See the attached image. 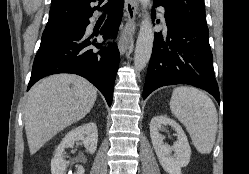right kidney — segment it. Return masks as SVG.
Here are the masks:
<instances>
[{
  "label": "right kidney",
  "mask_w": 249,
  "mask_h": 174,
  "mask_svg": "<svg viewBox=\"0 0 249 174\" xmlns=\"http://www.w3.org/2000/svg\"><path fill=\"white\" fill-rule=\"evenodd\" d=\"M82 141L86 150L93 154L97 148L98 132L95 123H88L79 126L65 135L61 143L55 150V155L51 160L52 174H65L67 162L63 158V153L67 148H73L76 141ZM83 166H79L76 174H84Z\"/></svg>",
  "instance_id": "obj_1"
}]
</instances>
